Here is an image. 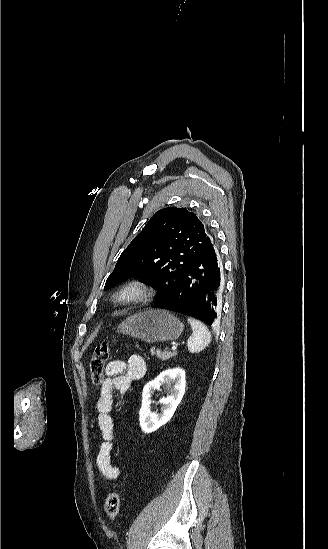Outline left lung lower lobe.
I'll return each instance as SVG.
<instances>
[{"label":"left lung lower lobe","mask_w":328,"mask_h":549,"mask_svg":"<svg viewBox=\"0 0 328 549\" xmlns=\"http://www.w3.org/2000/svg\"><path fill=\"white\" fill-rule=\"evenodd\" d=\"M222 290L217 249L210 245L187 267L172 292L155 300L153 308L176 311L213 325Z\"/></svg>","instance_id":"1"}]
</instances>
